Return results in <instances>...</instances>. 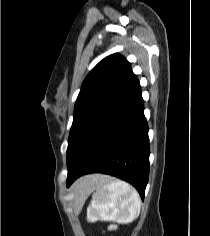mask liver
<instances>
[{
	"label": "liver",
	"instance_id": "6515ba94",
	"mask_svg": "<svg viewBox=\"0 0 210 236\" xmlns=\"http://www.w3.org/2000/svg\"><path fill=\"white\" fill-rule=\"evenodd\" d=\"M102 176L100 175H89V176H86L82 179H80L77 183V187H82L84 184L86 183H91V182H95V181H98L99 179H101Z\"/></svg>",
	"mask_w": 210,
	"mask_h": 236
}]
</instances>
